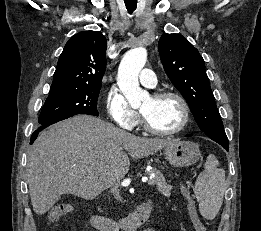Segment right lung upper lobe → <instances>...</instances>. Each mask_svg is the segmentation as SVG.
<instances>
[{
  "label": "right lung upper lobe",
  "instance_id": "1",
  "mask_svg": "<svg viewBox=\"0 0 261 231\" xmlns=\"http://www.w3.org/2000/svg\"><path fill=\"white\" fill-rule=\"evenodd\" d=\"M106 47V38L99 31L72 36L59 57L51 89L101 88Z\"/></svg>",
  "mask_w": 261,
  "mask_h": 231
}]
</instances>
